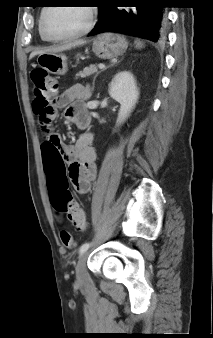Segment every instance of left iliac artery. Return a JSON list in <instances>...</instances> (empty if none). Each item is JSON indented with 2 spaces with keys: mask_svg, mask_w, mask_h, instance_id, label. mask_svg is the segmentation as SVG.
I'll use <instances>...</instances> for the list:
<instances>
[{
  "mask_svg": "<svg viewBox=\"0 0 213 338\" xmlns=\"http://www.w3.org/2000/svg\"><path fill=\"white\" fill-rule=\"evenodd\" d=\"M91 246V243H84L80 248H79V254L82 255L85 253Z\"/></svg>",
  "mask_w": 213,
  "mask_h": 338,
  "instance_id": "44dca946",
  "label": "left iliac artery"
}]
</instances>
